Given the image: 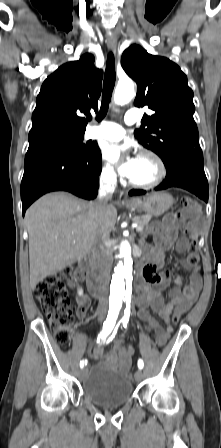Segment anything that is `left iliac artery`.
Returning a JSON list of instances; mask_svg holds the SVG:
<instances>
[{"label": "left iliac artery", "mask_w": 221, "mask_h": 448, "mask_svg": "<svg viewBox=\"0 0 221 448\" xmlns=\"http://www.w3.org/2000/svg\"><path fill=\"white\" fill-rule=\"evenodd\" d=\"M128 321H129V314H127V313L125 312V315H124V316L122 317V319H121V322L123 323V326H124V327L127 326ZM143 366H144L143 360L139 359V360H138V368H139V369H142Z\"/></svg>", "instance_id": "left-iliac-artery-1"}]
</instances>
